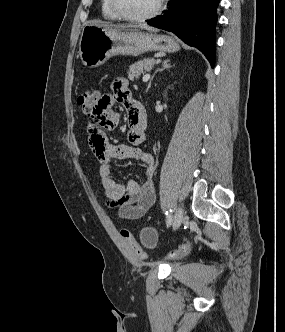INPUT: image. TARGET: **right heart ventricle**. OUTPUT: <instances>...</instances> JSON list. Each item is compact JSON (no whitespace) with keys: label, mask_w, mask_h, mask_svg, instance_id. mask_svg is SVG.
Masks as SVG:
<instances>
[{"label":"right heart ventricle","mask_w":285,"mask_h":332,"mask_svg":"<svg viewBox=\"0 0 285 332\" xmlns=\"http://www.w3.org/2000/svg\"><path fill=\"white\" fill-rule=\"evenodd\" d=\"M101 13L102 16L109 21H117L120 19L112 10L109 0H101Z\"/></svg>","instance_id":"obj_1"}]
</instances>
